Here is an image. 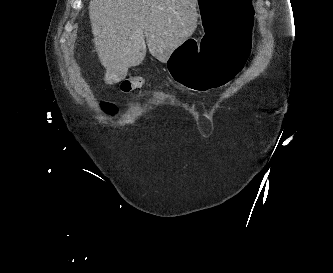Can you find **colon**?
Returning a JSON list of instances; mask_svg holds the SVG:
<instances>
[{
	"mask_svg": "<svg viewBox=\"0 0 333 273\" xmlns=\"http://www.w3.org/2000/svg\"><path fill=\"white\" fill-rule=\"evenodd\" d=\"M143 85V80L141 78H131L127 79L122 83V90L123 91H130L133 88H138ZM103 108L110 113L115 111V106L110 103H104Z\"/></svg>",
	"mask_w": 333,
	"mask_h": 273,
	"instance_id": "obj_1",
	"label": "colon"
}]
</instances>
